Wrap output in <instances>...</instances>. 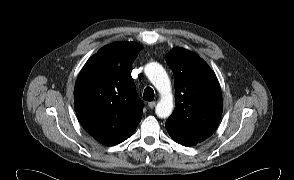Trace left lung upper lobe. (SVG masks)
I'll return each mask as SVG.
<instances>
[{"mask_svg": "<svg viewBox=\"0 0 294 180\" xmlns=\"http://www.w3.org/2000/svg\"><path fill=\"white\" fill-rule=\"evenodd\" d=\"M166 62L174 74L176 108L165 125L185 133L212 135L223 111L216 75L198 55L183 48H173Z\"/></svg>", "mask_w": 294, "mask_h": 180, "instance_id": "obj_1", "label": "left lung upper lobe"}]
</instances>
